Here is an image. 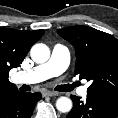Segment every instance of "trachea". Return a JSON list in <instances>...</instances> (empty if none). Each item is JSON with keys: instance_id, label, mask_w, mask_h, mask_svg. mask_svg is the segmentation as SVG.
I'll return each instance as SVG.
<instances>
[{"instance_id": "trachea-1", "label": "trachea", "mask_w": 118, "mask_h": 118, "mask_svg": "<svg viewBox=\"0 0 118 118\" xmlns=\"http://www.w3.org/2000/svg\"><path fill=\"white\" fill-rule=\"evenodd\" d=\"M72 89H73V87H67V86H63V85L56 87L57 91H71Z\"/></svg>"}]
</instances>
